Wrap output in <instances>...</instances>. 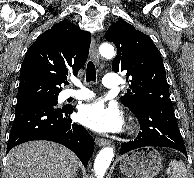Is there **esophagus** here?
<instances>
[{
	"label": "esophagus",
	"instance_id": "34e87169",
	"mask_svg": "<svg viewBox=\"0 0 194 178\" xmlns=\"http://www.w3.org/2000/svg\"><path fill=\"white\" fill-rule=\"evenodd\" d=\"M90 58L94 61L96 65L99 64V55L97 51V43L94 38H92L91 45H90ZM96 144L100 147L106 146L110 144V141L104 138H96Z\"/></svg>",
	"mask_w": 194,
	"mask_h": 178
}]
</instances>
